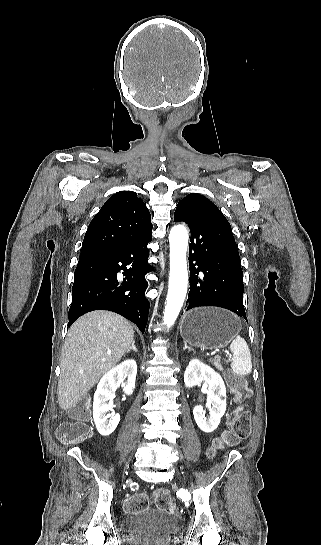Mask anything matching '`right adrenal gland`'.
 <instances>
[{"mask_svg": "<svg viewBox=\"0 0 321 545\" xmlns=\"http://www.w3.org/2000/svg\"><path fill=\"white\" fill-rule=\"evenodd\" d=\"M129 351H135V353H138L136 347H135V341H132L131 343V347H129V349H127L126 353H129Z\"/></svg>", "mask_w": 321, "mask_h": 545, "instance_id": "obj_1", "label": "right adrenal gland"}]
</instances>
